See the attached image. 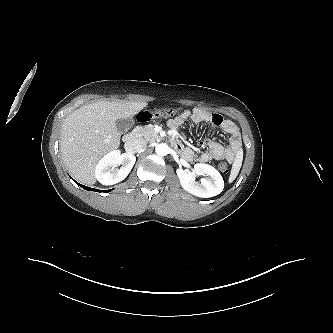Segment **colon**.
Masks as SVG:
<instances>
[{"mask_svg": "<svg viewBox=\"0 0 333 333\" xmlns=\"http://www.w3.org/2000/svg\"><path fill=\"white\" fill-rule=\"evenodd\" d=\"M178 110L175 108H159V109H151V108H146L142 110L141 112L138 113L137 119L140 122H147L153 119H158V118H167L174 116L177 114ZM217 169L223 173H227L228 171V162L225 159H222L219 161L216 165Z\"/></svg>", "mask_w": 333, "mask_h": 333, "instance_id": "obj_1", "label": "colon"}]
</instances>
